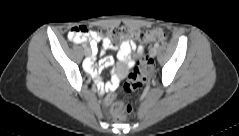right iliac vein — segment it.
I'll list each match as a JSON object with an SVG mask.
<instances>
[{
  "instance_id": "63e3f726",
  "label": "right iliac vein",
  "mask_w": 239,
  "mask_h": 136,
  "mask_svg": "<svg viewBox=\"0 0 239 136\" xmlns=\"http://www.w3.org/2000/svg\"><path fill=\"white\" fill-rule=\"evenodd\" d=\"M84 54H85L86 56L91 55V50H90V48L86 47V48L84 49Z\"/></svg>"
}]
</instances>
